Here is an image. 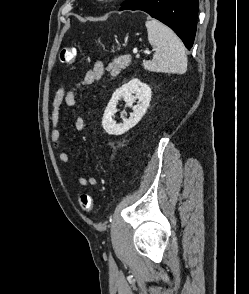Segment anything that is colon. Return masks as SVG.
<instances>
[{"label":"colon","mask_w":249,"mask_h":294,"mask_svg":"<svg viewBox=\"0 0 249 294\" xmlns=\"http://www.w3.org/2000/svg\"><path fill=\"white\" fill-rule=\"evenodd\" d=\"M77 54V49L71 46H65L60 51V61L63 64L71 65L74 63ZM79 206L82 211L89 213L92 211L94 202L90 194L83 193L79 197Z\"/></svg>","instance_id":"colon-1"}]
</instances>
